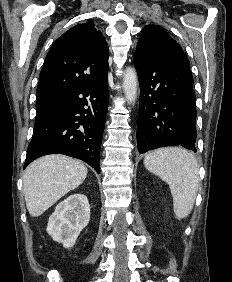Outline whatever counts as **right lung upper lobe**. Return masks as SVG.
Returning a JSON list of instances; mask_svg holds the SVG:
<instances>
[{"label": "right lung upper lobe", "instance_id": "cb5924a9", "mask_svg": "<svg viewBox=\"0 0 232 282\" xmlns=\"http://www.w3.org/2000/svg\"><path fill=\"white\" fill-rule=\"evenodd\" d=\"M109 49L92 22L78 24L52 45L39 76L37 93L65 97L72 90L107 76Z\"/></svg>", "mask_w": 232, "mask_h": 282}]
</instances>
